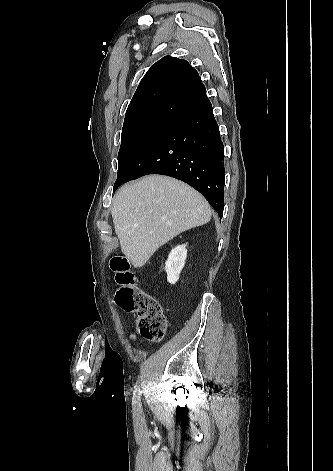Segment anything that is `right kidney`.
Masks as SVG:
<instances>
[{"label":"right kidney","mask_w":333,"mask_h":471,"mask_svg":"<svg viewBox=\"0 0 333 471\" xmlns=\"http://www.w3.org/2000/svg\"><path fill=\"white\" fill-rule=\"evenodd\" d=\"M186 258L187 249L185 244L176 246L171 250L165 263L167 280L170 284H175L179 280V276L185 265Z\"/></svg>","instance_id":"ca27d5eb"}]
</instances>
